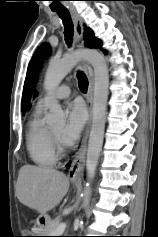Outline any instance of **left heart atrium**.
Instances as JSON below:
<instances>
[{
	"instance_id": "39dd6f15",
	"label": "left heart atrium",
	"mask_w": 158,
	"mask_h": 237,
	"mask_svg": "<svg viewBox=\"0 0 158 237\" xmlns=\"http://www.w3.org/2000/svg\"><path fill=\"white\" fill-rule=\"evenodd\" d=\"M86 122L85 108L82 103L75 101L68 106V116L65 128L62 130L59 139L70 146L80 137Z\"/></svg>"
}]
</instances>
